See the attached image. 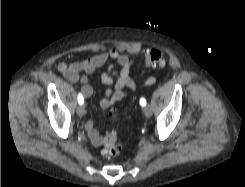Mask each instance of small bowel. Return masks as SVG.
<instances>
[{"instance_id": "obj_1", "label": "small bowel", "mask_w": 245, "mask_h": 187, "mask_svg": "<svg viewBox=\"0 0 245 187\" xmlns=\"http://www.w3.org/2000/svg\"><path fill=\"white\" fill-rule=\"evenodd\" d=\"M109 60H113L114 64L101 74V81L105 89L104 97L100 101V107L107 109L114 104L122 102L128 97L129 92H135L139 88V84L131 77V69L135 64L134 57L121 53L116 48H111L80 62H61L58 64V70L68 81L81 83L83 96L89 98L93 93V88L87 76L105 65ZM155 81V77L150 76L142 83V86H151ZM125 88L127 91L124 90ZM85 129L92 144L97 147L101 146L103 137L96 130L92 120L85 122Z\"/></svg>"}]
</instances>
